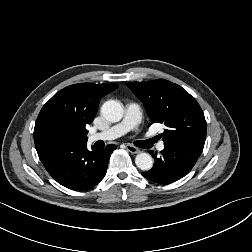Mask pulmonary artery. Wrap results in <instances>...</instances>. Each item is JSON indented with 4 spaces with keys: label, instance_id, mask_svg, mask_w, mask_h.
Segmentation results:
<instances>
[{
    "label": "pulmonary artery",
    "instance_id": "pulmonary-artery-1",
    "mask_svg": "<svg viewBox=\"0 0 252 252\" xmlns=\"http://www.w3.org/2000/svg\"><path fill=\"white\" fill-rule=\"evenodd\" d=\"M140 107L135 103H127L125 105V114L123 119L113 125L112 127L97 133H92L89 135V141L95 142L98 140H113L115 138L121 137L126 134L128 131L133 130L137 127L140 121ZM158 150L164 149V143L161 142L157 146Z\"/></svg>",
    "mask_w": 252,
    "mask_h": 252
}]
</instances>
